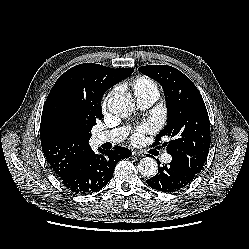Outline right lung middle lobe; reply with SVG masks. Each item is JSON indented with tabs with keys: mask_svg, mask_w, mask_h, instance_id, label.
Here are the masks:
<instances>
[{
	"mask_svg": "<svg viewBox=\"0 0 249 249\" xmlns=\"http://www.w3.org/2000/svg\"><path fill=\"white\" fill-rule=\"evenodd\" d=\"M52 108L53 114L61 120V127L78 137L83 147L86 146L92 127L97 119L102 118L101 104H86L63 92L57 95Z\"/></svg>",
	"mask_w": 249,
	"mask_h": 249,
	"instance_id": "obj_1",
	"label": "right lung middle lobe"
}]
</instances>
